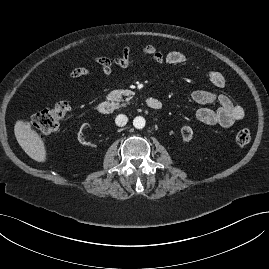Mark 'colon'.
Returning a JSON list of instances; mask_svg holds the SVG:
<instances>
[{"label": "colon", "instance_id": "5ec220e1", "mask_svg": "<svg viewBox=\"0 0 269 269\" xmlns=\"http://www.w3.org/2000/svg\"><path fill=\"white\" fill-rule=\"evenodd\" d=\"M70 111V106L67 101H59L53 106L44 109L37 113L27 125L30 129L38 132L41 135H48L55 132L60 124ZM251 139V132L247 128L238 131L236 135V142L240 145L249 143Z\"/></svg>", "mask_w": 269, "mask_h": 269}]
</instances>
